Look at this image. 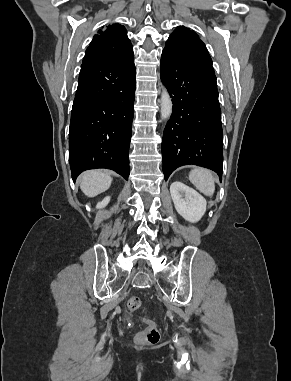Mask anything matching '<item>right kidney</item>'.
I'll return each mask as SVG.
<instances>
[{
  "mask_svg": "<svg viewBox=\"0 0 291 381\" xmlns=\"http://www.w3.org/2000/svg\"><path fill=\"white\" fill-rule=\"evenodd\" d=\"M109 201H110V197L109 196H107V197H105L101 202H99L98 204H97V208L98 209H100V208H104L108 203H109Z\"/></svg>",
  "mask_w": 291,
  "mask_h": 381,
  "instance_id": "obj_1",
  "label": "right kidney"
}]
</instances>
